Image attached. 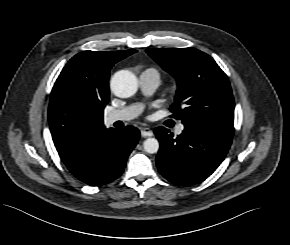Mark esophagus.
<instances>
[{"label":"esophagus","instance_id":"esophagus-1","mask_svg":"<svg viewBox=\"0 0 290 245\" xmlns=\"http://www.w3.org/2000/svg\"><path fill=\"white\" fill-rule=\"evenodd\" d=\"M153 135V132L150 128L146 127L141 130V136L146 138Z\"/></svg>","mask_w":290,"mask_h":245}]
</instances>
